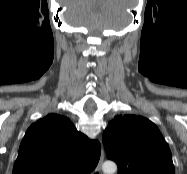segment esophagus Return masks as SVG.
<instances>
[{
  "instance_id": "34e87169",
  "label": "esophagus",
  "mask_w": 187,
  "mask_h": 174,
  "mask_svg": "<svg viewBox=\"0 0 187 174\" xmlns=\"http://www.w3.org/2000/svg\"><path fill=\"white\" fill-rule=\"evenodd\" d=\"M103 160H104V149H103V146H102V148H101V155H100V158H99L97 167H96V170H97V171H101V167H102V164H103Z\"/></svg>"
}]
</instances>
